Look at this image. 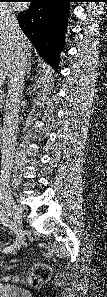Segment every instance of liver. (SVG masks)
I'll return each mask as SVG.
<instances>
[{
	"mask_svg": "<svg viewBox=\"0 0 107 297\" xmlns=\"http://www.w3.org/2000/svg\"><path fill=\"white\" fill-rule=\"evenodd\" d=\"M20 37V42L23 44L24 49L30 56L32 44L22 32L20 34ZM17 46V41L11 39V37H9L7 33L0 31V74H9L14 65Z\"/></svg>",
	"mask_w": 107,
	"mask_h": 297,
	"instance_id": "6515ba94",
	"label": "liver"
}]
</instances>
